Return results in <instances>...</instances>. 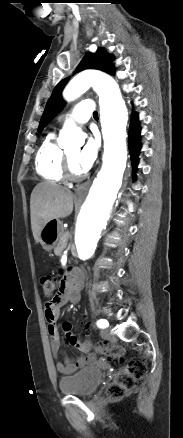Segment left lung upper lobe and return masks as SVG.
Returning a JSON list of instances; mask_svg holds the SVG:
<instances>
[{
	"instance_id": "left-lung-upper-lobe-1",
	"label": "left lung upper lobe",
	"mask_w": 183,
	"mask_h": 438,
	"mask_svg": "<svg viewBox=\"0 0 183 438\" xmlns=\"http://www.w3.org/2000/svg\"><path fill=\"white\" fill-rule=\"evenodd\" d=\"M112 55L99 49L96 54L87 53L83 60L78 65L76 71L84 69H98L114 75L115 67L112 65ZM68 79L59 82L53 90V93L48 100L42 119L40 121L38 132H42L44 127L62 110L64 101L62 99V90Z\"/></svg>"
}]
</instances>
